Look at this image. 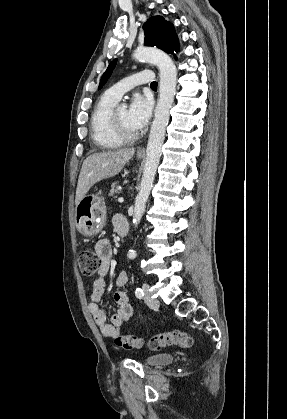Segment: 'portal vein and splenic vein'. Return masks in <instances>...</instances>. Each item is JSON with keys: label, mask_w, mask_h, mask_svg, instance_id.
I'll list each match as a JSON object with an SVG mask.
<instances>
[{"label": "portal vein and splenic vein", "mask_w": 287, "mask_h": 419, "mask_svg": "<svg viewBox=\"0 0 287 419\" xmlns=\"http://www.w3.org/2000/svg\"><path fill=\"white\" fill-rule=\"evenodd\" d=\"M118 201L122 203L124 201V198L120 197V198H118Z\"/></svg>", "instance_id": "portal-vein-and-splenic-vein-1"}]
</instances>
